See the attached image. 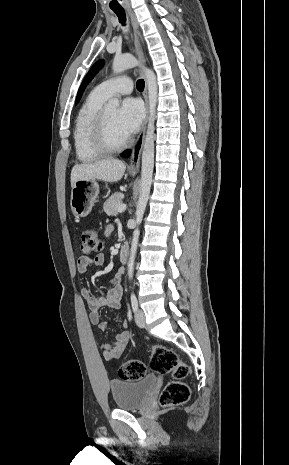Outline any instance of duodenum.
Listing matches in <instances>:
<instances>
[{
  "label": "duodenum",
  "instance_id": "obj_1",
  "mask_svg": "<svg viewBox=\"0 0 289 465\" xmlns=\"http://www.w3.org/2000/svg\"><path fill=\"white\" fill-rule=\"evenodd\" d=\"M129 256V246L123 245L120 251V259L122 262H125Z\"/></svg>",
  "mask_w": 289,
  "mask_h": 465
}]
</instances>
